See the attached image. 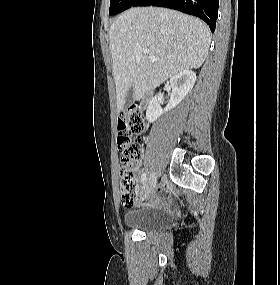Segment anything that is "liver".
<instances>
[{
  "label": "liver",
  "instance_id": "liver-1",
  "mask_svg": "<svg viewBox=\"0 0 280 285\" xmlns=\"http://www.w3.org/2000/svg\"><path fill=\"white\" fill-rule=\"evenodd\" d=\"M109 42L119 113L130 87L134 101H139L178 72L201 67L211 32L201 20L181 12L138 7L125 11L112 23ZM149 55L157 60L151 61Z\"/></svg>",
  "mask_w": 280,
  "mask_h": 285
}]
</instances>
